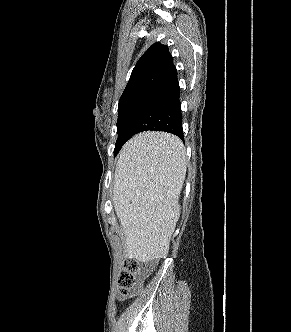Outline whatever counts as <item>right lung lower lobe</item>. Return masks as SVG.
I'll return each instance as SVG.
<instances>
[{
    "label": "right lung lower lobe",
    "instance_id": "98d812e1",
    "mask_svg": "<svg viewBox=\"0 0 291 332\" xmlns=\"http://www.w3.org/2000/svg\"><path fill=\"white\" fill-rule=\"evenodd\" d=\"M179 97L177 76L145 95L124 130L125 140L147 130L165 131L183 138Z\"/></svg>",
    "mask_w": 291,
    "mask_h": 332
}]
</instances>
